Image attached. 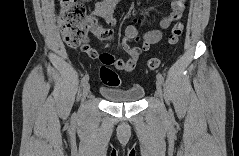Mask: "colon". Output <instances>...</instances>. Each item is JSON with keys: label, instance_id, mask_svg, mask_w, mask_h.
I'll use <instances>...</instances> for the list:
<instances>
[{"label": "colon", "instance_id": "5ec220e1", "mask_svg": "<svg viewBox=\"0 0 239 156\" xmlns=\"http://www.w3.org/2000/svg\"><path fill=\"white\" fill-rule=\"evenodd\" d=\"M60 25L64 41L71 47H80L84 52H91L92 48L87 42L91 27L85 6L77 0H62L60 9ZM183 33V25L176 24L168 37L170 44H176ZM160 66L158 58H151L146 63L147 70H156ZM100 78L103 83L110 86L120 85V79L108 66L100 68Z\"/></svg>", "mask_w": 239, "mask_h": 156}]
</instances>
